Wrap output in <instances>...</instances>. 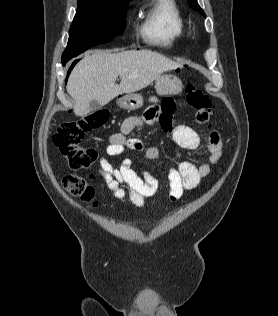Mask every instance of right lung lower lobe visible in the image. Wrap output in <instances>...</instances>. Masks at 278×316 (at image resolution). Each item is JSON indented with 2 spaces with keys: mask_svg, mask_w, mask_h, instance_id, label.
<instances>
[{
  "mask_svg": "<svg viewBox=\"0 0 278 316\" xmlns=\"http://www.w3.org/2000/svg\"><path fill=\"white\" fill-rule=\"evenodd\" d=\"M62 64H63V65H65V64H66V62H62Z\"/></svg>",
  "mask_w": 278,
  "mask_h": 316,
  "instance_id": "98d812e1",
  "label": "right lung lower lobe"
}]
</instances>
